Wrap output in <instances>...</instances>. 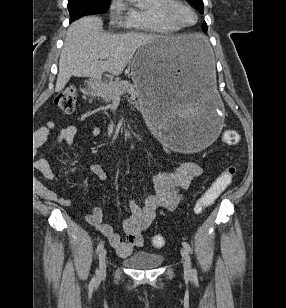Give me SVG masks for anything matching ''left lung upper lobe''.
Instances as JSON below:
<instances>
[{
    "instance_id": "left-lung-upper-lobe-1",
    "label": "left lung upper lobe",
    "mask_w": 286,
    "mask_h": 308,
    "mask_svg": "<svg viewBox=\"0 0 286 308\" xmlns=\"http://www.w3.org/2000/svg\"><path fill=\"white\" fill-rule=\"evenodd\" d=\"M194 8H196L200 13H203L204 4L202 0H187ZM202 29L207 32V25L204 23Z\"/></svg>"
}]
</instances>
